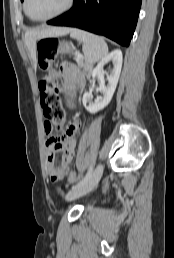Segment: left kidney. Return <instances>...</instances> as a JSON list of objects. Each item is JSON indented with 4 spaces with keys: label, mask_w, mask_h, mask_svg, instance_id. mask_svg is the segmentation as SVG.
<instances>
[{
    "label": "left kidney",
    "mask_w": 174,
    "mask_h": 258,
    "mask_svg": "<svg viewBox=\"0 0 174 258\" xmlns=\"http://www.w3.org/2000/svg\"><path fill=\"white\" fill-rule=\"evenodd\" d=\"M122 59V52L117 49L101 59L94 68L92 77H97L99 79L100 84L98 90L103 94V97H97L93 102L91 92H85L83 95V105L88 112L96 113L110 103L119 80L122 68ZM109 61H112L113 63V70L107 75L108 84L105 85L103 67Z\"/></svg>",
    "instance_id": "5707ae66"
}]
</instances>
